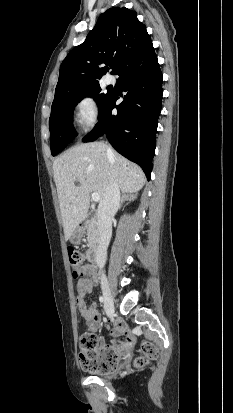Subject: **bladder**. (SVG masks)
<instances>
[{
	"label": "bladder",
	"mask_w": 233,
	"mask_h": 413,
	"mask_svg": "<svg viewBox=\"0 0 233 413\" xmlns=\"http://www.w3.org/2000/svg\"><path fill=\"white\" fill-rule=\"evenodd\" d=\"M108 374H110V372H107V373H100L99 375H108Z\"/></svg>",
	"instance_id": "31cf9c89"
}]
</instances>
